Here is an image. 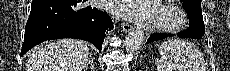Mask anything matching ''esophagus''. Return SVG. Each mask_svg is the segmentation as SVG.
I'll list each match as a JSON object with an SVG mask.
<instances>
[{
  "label": "esophagus",
  "instance_id": "34e87169",
  "mask_svg": "<svg viewBox=\"0 0 230 71\" xmlns=\"http://www.w3.org/2000/svg\"><path fill=\"white\" fill-rule=\"evenodd\" d=\"M131 28H132V25H131V24H129V23H127V22H123V23H122V30H123L124 32H129V31L131 30Z\"/></svg>",
  "mask_w": 230,
  "mask_h": 71
}]
</instances>
